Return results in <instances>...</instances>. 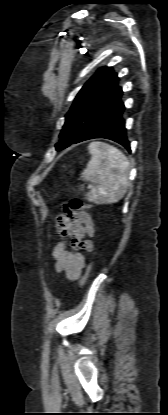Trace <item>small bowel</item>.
Returning <instances> with one entry per match:
<instances>
[{"label":"small bowel","mask_w":168,"mask_h":415,"mask_svg":"<svg viewBox=\"0 0 168 415\" xmlns=\"http://www.w3.org/2000/svg\"><path fill=\"white\" fill-rule=\"evenodd\" d=\"M66 210H60L57 230L61 235L72 238V245L85 252L94 249L90 237L94 233V224L91 216L80 209L70 207L68 203ZM64 221V222H63ZM52 258L58 272H63L70 280L78 279L86 264L83 253L79 250H68L65 241H59L52 250Z\"/></svg>","instance_id":"small-bowel-1"}]
</instances>
